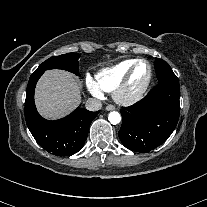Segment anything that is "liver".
Returning <instances> with one entry per match:
<instances>
[{
    "label": "liver",
    "mask_w": 207,
    "mask_h": 207,
    "mask_svg": "<svg viewBox=\"0 0 207 207\" xmlns=\"http://www.w3.org/2000/svg\"><path fill=\"white\" fill-rule=\"evenodd\" d=\"M81 102V83L64 70H48L37 83L35 104L46 119L54 120L68 115Z\"/></svg>",
    "instance_id": "1"
}]
</instances>
